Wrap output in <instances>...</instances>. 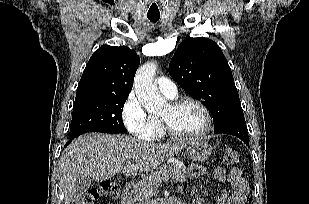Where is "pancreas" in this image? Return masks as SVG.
<instances>
[{
    "label": "pancreas",
    "instance_id": "obj_1",
    "mask_svg": "<svg viewBox=\"0 0 309 204\" xmlns=\"http://www.w3.org/2000/svg\"><path fill=\"white\" fill-rule=\"evenodd\" d=\"M170 179L180 183L186 181V170L176 164H167L159 167L137 183L135 200L139 201L138 204H144V201L157 194L159 182Z\"/></svg>",
    "mask_w": 309,
    "mask_h": 204
}]
</instances>
